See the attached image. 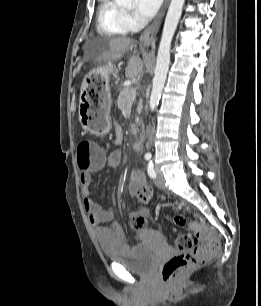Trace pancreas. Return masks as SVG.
<instances>
[{"label": "pancreas", "mask_w": 261, "mask_h": 306, "mask_svg": "<svg viewBox=\"0 0 261 306\" xmlns=\"http://www.w3.org/2000/svg\"><path fill=\"white\" fill-rule=\"evenodd\" d=\"M132 87H125L120 91L119 97L117 99L118 108L122 111H127L131 108L133 102L136 99V95H133ZM142 100H139L137 106V113L140 114L142 111Z\"/></svg>", "instance_id": "pancreas-1"}]
</instances>
